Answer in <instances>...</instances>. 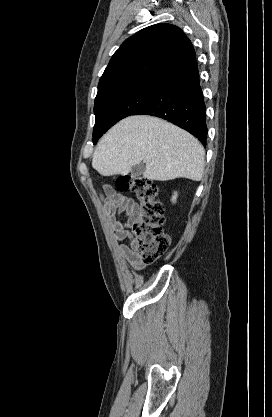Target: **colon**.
<instances>
[{
  "label": "colon",
  "instance_id": "obj_1",
  "mask_svg": "<svg viewBox=\"0 0 272 417\" xmlns=\"http://www.w3.org/2000/svg\"><path fill=\"white\" fill-rule=\"evenodd\" d=\"M120 191H131L139 200L138 214L131 226L136 248L144 264H151L169 248L170 237L163 230L164 205L158 200V187L150 179L125 175L116 180Z\"/></svg>",
  "mask_w": 272,
  "mask_h": 417
}]
</instances>
